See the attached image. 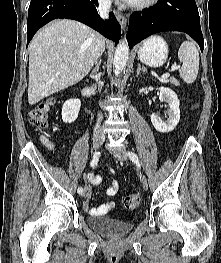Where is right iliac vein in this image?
<instances>
[{"instance_id":"right-iliac-vein-1","label":"right iliac vein","mask_w":221,"mask_h":263,"mask_svg":"<svg viewBox=\"0 0 221 263\" xmlns=\"http://www.w3.org/2000/svg\"><path fill=\"white\" fill-rule=\"evenodd\" d=\"M104 142V138L102 136L96 135L93 137V148L95 151H98ZM87 189L85 188L81 193V196H85Z\"/></svg>"}]
</instances>
